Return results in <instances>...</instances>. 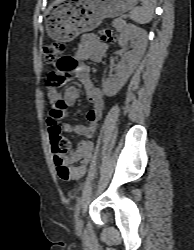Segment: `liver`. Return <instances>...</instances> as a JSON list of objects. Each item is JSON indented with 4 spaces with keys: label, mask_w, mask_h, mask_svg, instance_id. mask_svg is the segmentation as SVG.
<instances>
[{
    "label": "liver",
    "mask_w": 194,
    "mask_h": 250,
    "mask_svg": "<svg viewBox=\"0 0 194 250\" xmlns=\"http://www.w3.org/2000/svg\"><path fill=\"white\" fill-rule=\"evenodd\" d=\"M62 1H64V0H55V2L53 3V5H54V4L61 3Z\"/></svg>",
    "instance_id": "obj_1"
}]
</instances>
